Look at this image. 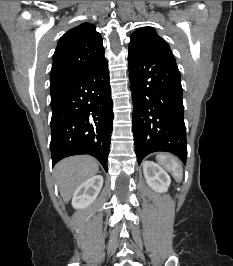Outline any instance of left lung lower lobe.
Instances as JSON below:
<instances>
[{
  "instance_id": "left-lung-lower-lobe-1",
  "label": "left lung lower lobe",
  "mask_w": 233,
  "mask_h": 266,
  "mask_svg": "<svg viewBox=\"0 0 233 266\" xmlns=\"http://www.w3.org/2000/svg\"><path fill=\"white\" fill-rule=\"evenodd\" d=\"M128 63L134 99L132 130L138 163L149 153L166 151L186 164L182 86L174 56L129 48Z\"/></svg>"
}]
</instances>
